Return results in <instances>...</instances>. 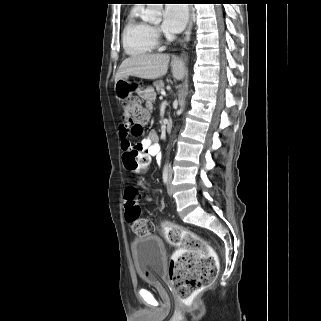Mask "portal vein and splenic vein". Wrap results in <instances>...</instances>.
<instances>
[{"label": "portal vein and splenic vein", "instance_id": "1", "mask_svg": "<svg viewBox=\"0 0 321 321\" xmlns=\"http://www.w3.org/2000/svg\"><path fill=\"white\" fill-rule=\"evenodd\" d=\"M161 95H166L164 90L161 91Z\"/></svg>", "mask_w": 321, "mask_h": 321}]
</instances>
